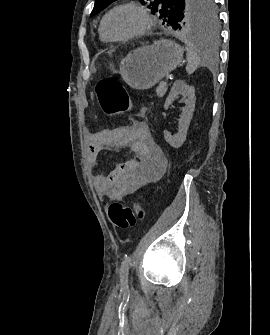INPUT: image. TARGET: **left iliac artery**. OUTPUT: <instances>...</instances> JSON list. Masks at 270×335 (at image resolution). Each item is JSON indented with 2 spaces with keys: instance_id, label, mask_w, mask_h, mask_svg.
Wrapping results in <instances>:
<instances>
[{
  "instance_id": "left-iliac-artery-1",
  "label": "left iliac artery",
  "mask_w": 270,
  "mask_h": 335,
  "mask_svg": "<svg viewBox=\"0 0 270 335\" xmlns=\"http://www.w3.org/2000/svg\"><path fill=\"white\" fill-rule=\"evenodd\" d=\"M131 264V256H126L121 264L120 268V281L123 288L128 287V272Z\"/></svg>"
}]
</instances>
